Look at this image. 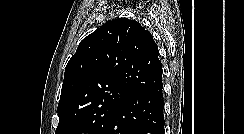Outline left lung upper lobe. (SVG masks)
Instances as JSON below:
<instances>
[{
  "label": "left lung upper lobe",
  "instance_id": "5c2ea615",
  "mask_svg": "<svg viewBox=\"0 0 244 134\" xmlns=\"http://www.w3.org/2000/svg\"><path fill=\"white\" fill-rule=\"evenodd\" d=\"M158 55L151 33L127 18L84 38L66 65L55 134H103L127 98L163 85Z\"/></svg>",
  "mask_w": 244,
  "mask_h": 134
}]
</instances>
